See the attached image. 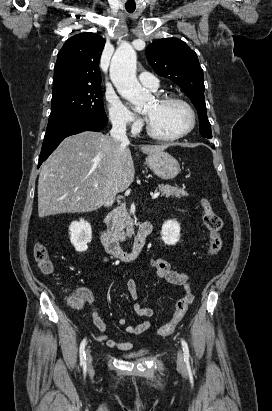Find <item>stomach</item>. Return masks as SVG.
Returning <instances> with one entry per match:
<instances>
[{
    "label": "stomach",
    "instance_id": "1",
    "mask_svg": "<svg viewBox=\"0 0 272 411\" xmlns=\"http://www.w3.org/2000/svg\"><path fill=\"white\" fill-rule=\"evenodd\" d=\"M147 166L160 178L170 180L180 172L178 161L166 152L149 154L146 157Z\"/></svg>",
    "mask_w": 272,
    "mask_h": 411
}]
</instances>
